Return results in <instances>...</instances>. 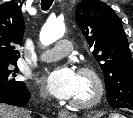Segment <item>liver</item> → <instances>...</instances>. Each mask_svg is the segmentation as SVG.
Wrapping results in <instances>:
<instances>
[{"mask_svg":"<svg viewBox=\"0 0 133 118\" xmlns=\"http://www.w3.org/2000/svg\"><path fill=\"white\" fill-rule=\"evenodd\" d=\"M0 118H31L24 108H18L0 103Z\"/></svg>","mask_w":133,"mask_h":118,"instance_id":"obj_1","label":"liver"}]
</instances>
